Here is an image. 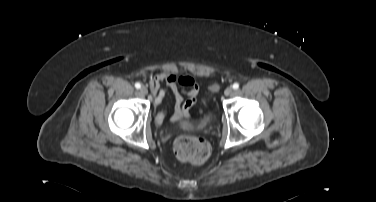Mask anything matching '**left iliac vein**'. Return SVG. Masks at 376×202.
<instances>
[{"mask_svg":"<svg viewBox=\"0 0 376 202\" xmlns=\"http://www.w3.org/2000/svg\"><path fill=\"white\" fill-rule=\"evenodd\" d=\"M232 92H233V88L232 87H227L225 89V91H224V94H225V96H229V95L232 94Z\"/></svg>","mask_w":376,"mask_h":202,"instance_id":"1","label":"left iliac vein"}]
</instances>
